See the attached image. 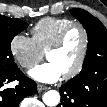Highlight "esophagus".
Listing matches in <instances>:
<instances>
[{"label": "esophagus", "instance_id": "esophagus-1", "mask_svg": "<svg viewBox=\"0 0 107 107\" xmlns=\"http://www.w3.org/2000/svg\"><path fill=\"white\" fill-rule=\"evenodd\" d=\"M49 87H47V86H45V85H43V84H38L37 85V90H38V92H41V91H43V90H47Z\"/></svg>", "mask_w": 107, "mask_h": 107}]
</instances>
